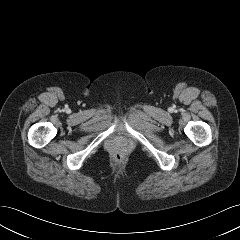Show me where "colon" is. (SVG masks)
Here are the masks:
<instances>
[{
    "mask_svg": "<svg viewBox=\"0 0 240 240\" xmlns=\"http://www.w3.org/2000/svg\"><path fill=\"white\" fill-rule=\"evenodd\" d=\"M116 157L119 159L121 157V155L119 153H117Z\"/></svg>",
    "mask_w": 240,
    "mask_h": 240,
    "instance_id": "obj_1",
    "label": "colon"
}]
</instances>
